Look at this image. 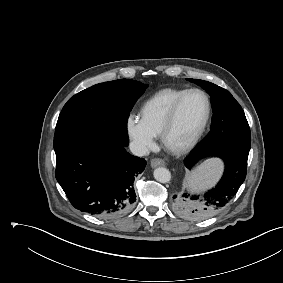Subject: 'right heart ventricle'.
Instances as JSON below:
<instances>
[{
	"label": "right heart ventricle",
	"mask_w": 283,
	"mask_h": 283,
	"mask_svg": "<svg viewBox=\"0 0 283 283\" xmlns=\"http://www.w3.org/2000/svg\"><path fill=\"white\" fill-rule=\"evenodd\" d=\"M186 90L183 88L162 89L144 101L140 109V120L154 136L160 134L170 109Z\"/></svg>",
	"instance_id": "e07e8e85"
}]
</instances>
